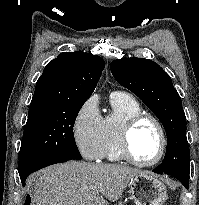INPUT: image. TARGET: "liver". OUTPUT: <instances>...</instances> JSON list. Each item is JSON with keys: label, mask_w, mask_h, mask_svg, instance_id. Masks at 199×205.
I'll list each match as a JSON object with an SVG mask.
<instances>
[{"label": "liver", "mask_w": 199, "mask_h": 205, "mask_svg": "<svg viewBox=\"0 0 199 205\" xmlns=\"http://www.w3.org/2000/svg\"><path fill=\"white\" fill-rule=\"evenodd\" d=\"M141 173L123 165L69 161L36 172L27 186L33 189L35 205H108L103 196L117 201Z\"/></svg>", "instance_id": "6515ba94"}]
</instances>
